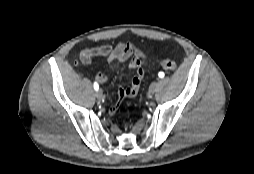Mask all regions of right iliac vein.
<instances>
[{
  "label": "right iliac vein",
  "mask_w": 254,
  "mask_h": 174,
  "mask_svg": "<svg viewBox=\"0 0 254 174\" xmlns=\"http://www.w3.org/2000/svg\"><path fill=\"white\" fill-rule=\"evenodd\" d=\"M95 96L97 97V99L101 100L103 98V93L101 90H98L96 93H95Z\"/></svg>",
  "instance_id": "obj_1"
}]
</instances>
